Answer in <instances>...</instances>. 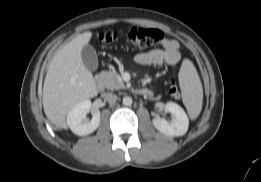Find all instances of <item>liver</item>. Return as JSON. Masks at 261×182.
<instances>
[{
  "label": "liver",
  "mask_w": 261,
  "mask_h": 182,
  "mask_svg": "<svg viewBox=\"0 0 261 182\" xmlns=\"http://www.w3.org/2000/svg\"><path fill=\"white\" fill-rule=\"evenodd\" d=\"M92 32H84L63 46L52 59L43 86V108L47 118L58 128L66 129V115L77 103L95 97L97 88L85 67L81 51Z\"/></svg>",
  "instance_id": "6515ba94"
}]
</instances>
